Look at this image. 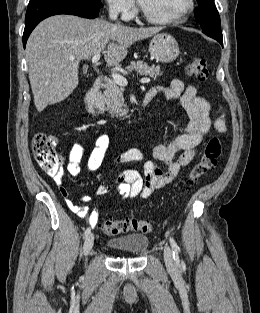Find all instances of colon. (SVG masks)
Here are the masks:
<instances>
[{
  "mask_svg": "<svg viewBox=\"0 0 260 313\" xmlns=\"http://www.w3.org/2000/svg\"><path fill=\"white\" fill-rule=\"evenodd\" d=\"M187 74L197 81H207L209 70L207 62L202 57H195L187 66ZM57 141L54 136L37 133L33 138V154L39 166L50 176H59L62 173L63 156L56 150ZM221 139L211 137L205 145L201 159L189 171L186 181L189 185L196 184L205 174L213 170L221 155ZM100 228L103 233L116 236L128 232L149 233L153 224L147 220L126 218L119 220H105Z\"/></svg>",
  "mask_w": 260,
  "mask_h": 313,
  "instance_id": "1",
  "label": "colon"
}]
</instances>
